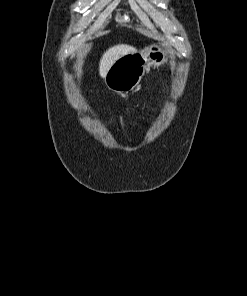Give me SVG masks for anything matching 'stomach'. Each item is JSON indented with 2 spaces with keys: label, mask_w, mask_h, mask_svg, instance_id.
<instances>
[{
  "label": "stomach",
  "mask_w": 247,
  "mask_h": 296,
  "mask_svg": "<svg viewBox=\"0 0 247 296\" xmlns=\"http://www.w3.org/2000/svg\"><path fill=\"white\" fill-rule=\"evenodd\" d=\"M167 62V53L158 44L120 57L110 67L104 77L107 88L122 94L139 85L150 66H160Z\"/></svg>",
  "instance_id": "1"
}]
</instances>
